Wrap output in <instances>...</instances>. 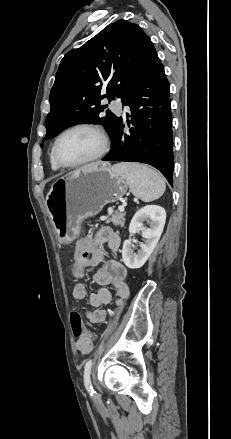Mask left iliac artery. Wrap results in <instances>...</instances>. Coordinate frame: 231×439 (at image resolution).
<instances>
[{
    "instance_id": "obj_1",
    "label": "left iliac artery",
    "mask_w": 231,
    "mask_h": 439,
    "mask_svg": "<svg viewBox=\"0 0 231 439\" xmlns=\"http://www.w3.org/2000/svg\"><path fill=\"white\" fill-rule=\"evenodd\" d=\"M91 367H92V360L90 359L87 361V363L85 364V367H84V385H85L87 391L89 392V394L91 396H93L95 391L92 387V383H91V379H90Z\"/></svg>"
}]
</instances>
